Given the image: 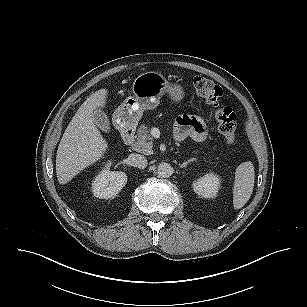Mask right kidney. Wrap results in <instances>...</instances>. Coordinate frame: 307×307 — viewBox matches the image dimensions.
<instances>
[{
  "label": "right kidney",
  "instance_id": "1",
  "mask_svg": "<svg viewBox=\"0 0 307 307\" xmlns=\"http://www.w3.org/2000/svg\"><path fill=\"white\" fill-rule=\"evenodd\" d=\"M108 161L92 183V192L96 198L109 199L116 196L127 183V175L122 171H110Z\"/></svg>",
  "mask_w": 307,
  "mask_h": 307
}]
</instances>
